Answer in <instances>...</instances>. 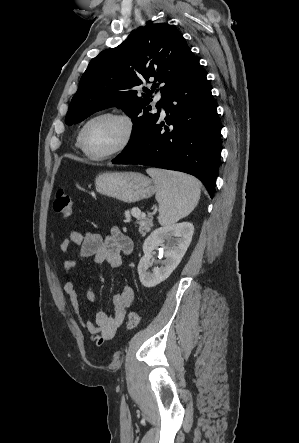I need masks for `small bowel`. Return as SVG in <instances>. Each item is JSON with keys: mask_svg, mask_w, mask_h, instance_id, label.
<instances>
[{"mask_svg": "<svg viewBox=\"0 0 299 443\" xmlns=\"http://www.w3.org/2000/svg\"><path fill=\"white\" fill-rule=\"evenodd\" d=\"M132 247L131 239L118 229H114L112 234L107 237L94 232L70 231L68 237L60 243L59 252L64 254L77 248L80 257H91L97 264L105 263L112 269H118L123 264L124 256L132 251ZM75 266V259L65 260L64 270L68 277ZM64 291L68 296L76 320L98 346L114 339L118 327L125 318L127 309L132 306L134 301L133 288L129 284H123L113 298V313L111 315L100 311L94 320L84 322L80 313L78 293L73 281L69 278L64 284ZM85 296L89 302H94L96 299V293L91 287L87 289Z\"/></svg>", "mask_w": 299, "mask_h": 443, "instance_id": "obj_1", "label": "small bowel"}]
</instances>
